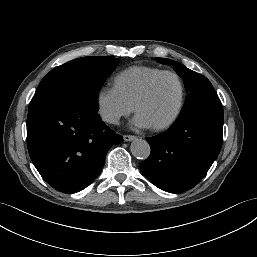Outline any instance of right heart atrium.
Returning <instances> with one entry per match:
<instances>
[{
  "mask_svg": "<svg viewBox=\"0 0 257 257\" xmlns=\"http://www.w3.org/2000/svg\"><path fill=\"white\" fill-rule=\"evenodd\" d=\"M98 112L102 119L110 124H117L134 109L118 89L113 86H103L97 93Z\"/></svg>",
  "mask_w": 257,
  "mask_h": 257,
  "instance_id": "d8ad5b80",
  "label": "right heart atrium"
}]
</instances>
